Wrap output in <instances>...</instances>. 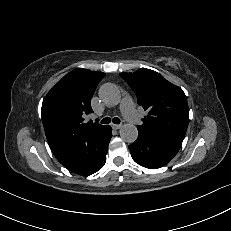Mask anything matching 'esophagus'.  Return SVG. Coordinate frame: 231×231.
<instances>
[{
    "mask_svg": "<svg viewBox=\"0 0 231 231\" xmlns=\"http://www.w3.org/2000/svg\"><path fill=\"white\" fill-rule=\"evenodd\" d=\"M112 128L117 130L121 128V124H112Z\"/></svg>",
    "mask_w": 231,
    "mask_h": 231,
    "instance_id": "obj_1",
    "label": "esophagus"
}]
</instances>
